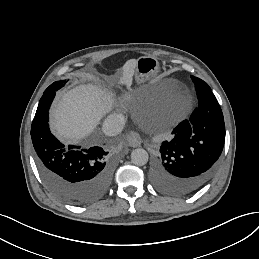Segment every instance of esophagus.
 <instances>
[{
    "instance_id": "1",
    "label": "esophagus",
    "mask_w": 259,
    "mask_h": 259,
    "mask_svg": "<svg viewBox=\"0 0 259 259\" xmlns=\"http://www.w3.org/2000/svg\"><path fill=\"white\" fill-rule=\"evenodd\" d=\"M127 141L131 147H139L142 143V139H141L139 133H137L135 131H131L127 135Z\"/></svg>"
}]
</instances>
